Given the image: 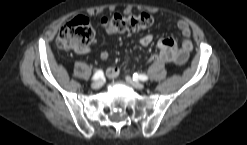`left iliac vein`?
I'll return each instance as SVG.
<instances>
[{"instance_id": "4c4485c4", "label": "left iliac vein", "mask_w": 247, "mask_h": 145, "mask_svg": "<svg viewBox=\"0 0 247 145\" xmlns=\"http://www.w3.org/2000/svg\"><path fill=\"white\" fill-rule=\"evenodd\" d=\"M126 82L128 84H130L132 87L136 88V89H139V90H142L145 88V85L139 81H134L131 77L127 76L126 78Z\"/></svg>"}]
</instances>
